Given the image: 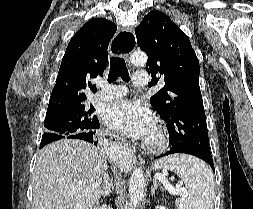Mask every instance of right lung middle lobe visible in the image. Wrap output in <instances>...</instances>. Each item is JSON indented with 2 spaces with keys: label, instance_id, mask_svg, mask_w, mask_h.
Returning <instances> with one entry per match:
<instances>
[{
  "label": "right lung middle lobe",
  "instance_id": "right-lung-middle-lobe-1",
  "mask_svg": "<svg viewBox=\"0 0 253 209\" xmlns=\"http://www.w3.org/2000/svg\"><path fill=\"white\" fill-rule=\"evenodd\" d=\"M94 111L93 106L80 105L59 108L47 113L44 121L46 130L40 147L59 139H70L72 135L93 129L98 122Z\"/></svg>",
  "mask_w": 253,
  "mask_h": 209
}]
</instances>
